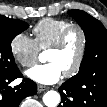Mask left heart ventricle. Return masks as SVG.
<instances>
[{
  "label": "left heart ventricle",
  "mask_w": 107,
  "mask_h": 107,
  "mask_svg": "<svg viewBox=\"0 0 107 107\" xmlns=\"http://www.w3.org/2000/svg\"><path fill=\"white\" fill-rule=\"evenodd\" d=\"M80 47V36L77 32L69 35L65 45L59 50L50 49L47 60L60 65L63 71L68 70L75 62Z\"/></svg>",
  "instance_id": "b2bd125f"
}]
</instances>
